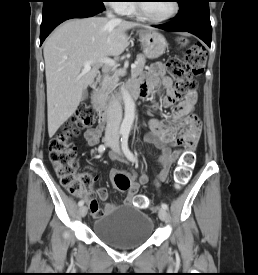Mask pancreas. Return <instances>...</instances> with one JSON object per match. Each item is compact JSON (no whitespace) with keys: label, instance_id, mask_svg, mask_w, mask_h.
<instances>
[{"label":"pancreas","instance_id":"cf45deb5","mask_svg":"<svg viewBox=\"0 0 258 275\" xmlns=\"http://www.w3.org/2000/svg\"><path fill=\"white\" fill-rule=\"evenodd\" d=\"M146 59L143 55H138L136 58V67L131 69L132 77H137L143 72L145 67ZM119 81V77L117 75H107L99 88L96 89L97 96L102 101H108L110 99V95L112 91L117 87Z\"/></svg>","mask_w":258,"mask_h":275}]
</instances>
